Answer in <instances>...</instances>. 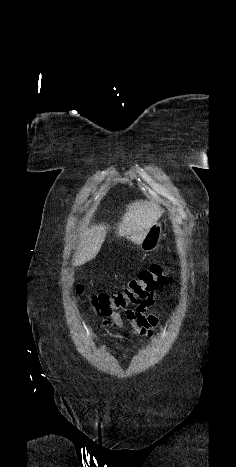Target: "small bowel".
<instances>
[{"instance_id": "small-bowel-1", "label": "small bowel", "mask_w": 236, "mask_h": 467, "mask_svg": "<svg viewBox=\"0 0 236 467\" xmlns=\"http://www.w3.org/2000/svg\"><path fill=\"white\" fill-rule=\"evenodd\" d=\"M154 305V296L150 295L141 301L134 309L126 308L122 310L124 317L131 323L134 332L143 335L146 338H151L154 330L159 324V319L156 314H147V310ZM105 325L112 323L118 328L123 326L122 315L118 312L112 313L110 319L103 321Z\"/></svg>"}]
</instances>
